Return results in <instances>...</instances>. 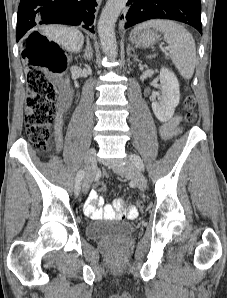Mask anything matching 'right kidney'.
<instances>
[{"label":"right kidney","instance_id":"1","mask_svg":"<svg viewBox=\"0 0 227 298\" xmlns=\"http://www.w3.org/2000/svg\"><path fill=\"white\" fill-rule=\"evenodd\" d=\"M66 83H67V84L69 83V79H67Z\"/></svg>","mask_w":227,"mask_h":298}]
</instances>
